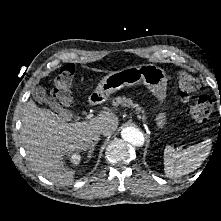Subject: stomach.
I'll return each instance as SVG.
<instances>
[{"instance_id": "obj_1", "label": "stomach", "mask_w": 221, "mask_h": 221, "mask_svg": "<svg viewBox=\"0 0 221 221\" xmlns=\"http://www.w3.org/2000/svg\"><path fill=\"white\" fill-rule=\"evenodd\" d=\"M139 82L161 102L166 98L167 77L160 67L153 64L130 66L125 69L114 71L105 76L92 94V98L100 103L105 101L110 94L120 90L124 86H134ZM158 128L163 129L167 123L166 114L160 112L155 118Z\"/></svg>"}]
</instances>
